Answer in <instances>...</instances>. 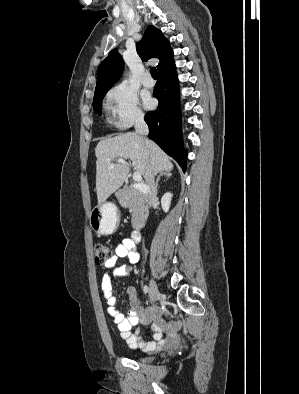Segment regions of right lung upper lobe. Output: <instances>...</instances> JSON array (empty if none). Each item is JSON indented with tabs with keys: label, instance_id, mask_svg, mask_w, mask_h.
<instances>
[{
	"label": "right lung upper lobe",
	"instance_id": "cb5924a9",
	"mask_svg": "<svg viewBox=\"0 0 299 394\" xmlns=\"http://www.w3.org/2000/svg\"><path fill=\"white\" fill-rule=\"evenodd\" d=\"M136 50L143 61L150 58L160 59L157 65L158 70L173 61V51L169 41L154 26H148L143 38L137 42ZM123 68L124 62L121 55L117 49L112 50L99 66L95 94L109 90L120 78Z\"/></svg>",
	"mask_w": 299,
	"mask_h": 394
}]
</instances>
